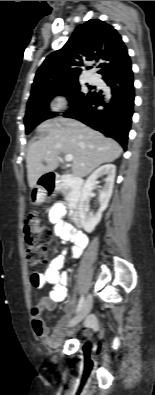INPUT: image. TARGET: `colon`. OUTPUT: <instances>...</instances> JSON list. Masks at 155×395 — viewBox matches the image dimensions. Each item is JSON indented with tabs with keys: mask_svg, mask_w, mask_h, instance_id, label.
Here are the masks:
<instances>
[{
	"mask_svg": "<svg viewBox=\"0 0 155 395\" xmlns=\"http://www.w3.org/2000/svg\"><path fill=\"white\" fill-rule=\"evenodd\" d=\"M51 240V230L41 224L35 213H31L24 226L25 258L30 266L46 260V249Z\"/></svg>",
	"mask_w": 155,
	"mask_h": 395,
	"instance_id": "obj_1",
	"label": "colon"
}]
</instances>
